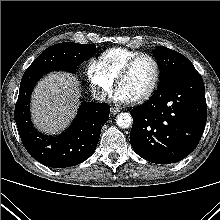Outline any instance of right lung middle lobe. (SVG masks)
<instances>
[{
  "mask_svg": "<svg viewBox=\"0 0 220 220\" xmlns=\"http://www.w3.org/2000/svg\"><path fill=\"white\" fill-rule=\"evenodd\" d=\"M96 52L95 45L63 42L45 49L28 67L30 69H72L90 59Z\"/></svg>",
  "mask_w": 220,
  "mask_h": 220,
  "instance_id": "1",
  "label": "right lung middle lobe"
}]
</instances>
